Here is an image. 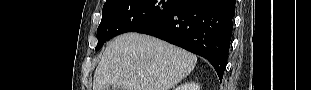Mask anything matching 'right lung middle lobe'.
I'll list each match as a JSON object with an SVG mask.
<instances>
[{
	"label": "right lung middle lobe",
	"instance_id": "obj_1",
	"mask_svg": "<svg viewBox=\"0 0 311 90\" xmlns=\"http://www.w3.org/2000/svg\"><path fill=\"white\" fill-rule=\"evenodd\" d=\"M180 0H109L102 10L97 29L99 50L109 39L138 30L158 21L171 12Z\"/></svg>",
	"mask_w": 311,
	"mask_h": 90
}]
</instances>
